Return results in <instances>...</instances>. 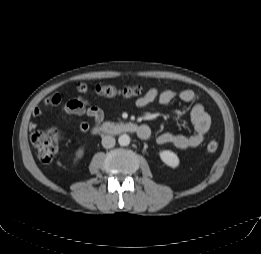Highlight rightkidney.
Returning <instances> with one entry per match:
<instances>
[{"label":"right kidney","mask_w":261,"mask_h":254,"mask_svg":"<svg viewBox=\"0 0 261 254\" xmlns=\"http://www.w3.org/2000/svg\"><path fill=\"white\" fill-rule=\"evenodd\" d=\"M84 150L81 148L76 152V159H80L83 156Z\"/></svg>","instance_id":"1"}]
</instances>
